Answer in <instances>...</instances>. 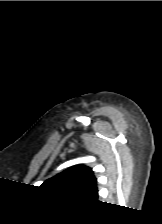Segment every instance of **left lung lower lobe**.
<instances>
[{"mask_svg": "<svg viewBox=\"0 0 162 224\" xmlns=\"http://www.w3.org/2000/svg\"><path fill=\"white\" fill-rule=\"evenodd\" d=\"M97 197H98V193H96V194L92 197V199H93V200H96Z\"/></svg>", "mask_w": 162, "mask_h": 224, "instance_id": "1", "label": "left lung lower lobe"}]
</instances>
